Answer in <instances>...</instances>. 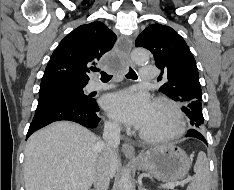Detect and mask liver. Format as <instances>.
I'll return each instance as SVG.
<instances>
[{"label": "liver", "instance_id": "6515ba94", "mask_svg": "<svg viewBox=\"0 0 234 190\" xmlns=\"http://www.w3.org/2000/svg\"><path fill=\"white\" fill-rule=\"evenodd\" d=\"M102 141L79 124L58 121L32 134L25 148V190H89ZM119 165L110 160L111 177Z\"/></svg>", "mask_w": 234, "mask_h": 190}]
</instances>
